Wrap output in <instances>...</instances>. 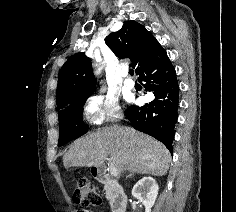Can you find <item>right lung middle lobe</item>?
Wrapping results in <instances>:
<instances>
[{"instance_id":"right-lung-middle-lobe-1","label":"right lung middle lobe","mask_w":236,"mask_h":212,"mask_svg":"<svg viewBox=\"0 0 236 212\" xmlns=\"http://www.w3.org/2000/svg\"><path fill=\"white\" fill-rule=\"evenodd\" d=\"M89 96L77 98L58 112L60 125L58 146L77 139L87 132L88 127L82 121V113L83 105Z\"/></svg>"}]
</instances>
